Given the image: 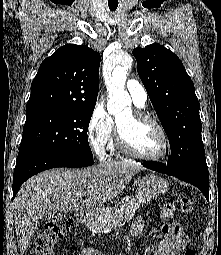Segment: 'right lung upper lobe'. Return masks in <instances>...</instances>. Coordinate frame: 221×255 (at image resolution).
Instances as JSON below:
<instances>
[{"mask_svg": "<svg viewBox=\"0 0 221 255\" xmlns=\"http://www.w3.org/2000/svg\"><path fill=\"white\" fill-rule=\"evenodd\" d=\"M100 60V54L86 45L60 47L41 63L31 84L26 112L95 106Z\"/></svg>", "mask_w": 221, "mask_h": 255, "instance_id": "right-lung-upper-lobe-1", "label": "right lung upper lobe"}]
</instances>
